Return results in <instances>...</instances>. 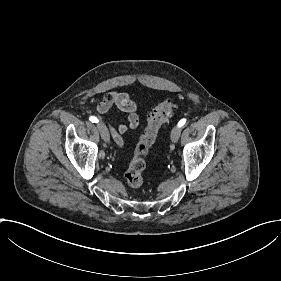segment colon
<instances>
[{"label": "colon", "mask_w": 281, "mask_h": 281, "mask_svg": "<svg viewBox=\"0 0 281 281\" xmlns=\"http://www.w3.org/2000/svg\"><path fill=\"white\" fill-rule=\"evenodd\" d=\"M174 106V100L171 97H166L148 116L133 158L123 175V181L128 187L139 188L143 184L146 158L152 146L156 143L160 130L171 115Z\"/></svg>", "instance_id": "colon-1"}]
</instances>
